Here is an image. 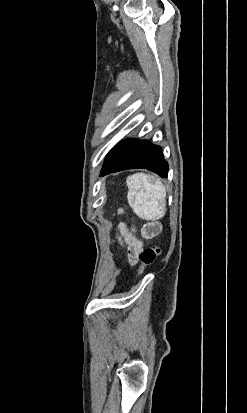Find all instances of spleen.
<instances>
[{
  "label": "spleen",
  "mask_w": 247,
  "mask_h": 413,
  "mask_svg": "<svg viewBox=\"0 0 247 413\" xmlns=\"http://www.w3.org/2000/svg\"><path fill=\"white\" fill-rule=\"evenodd\" d=\"M126 182L128 202L139 217H149V221L164 217L166 188L160 178L145 172H135L127 176Z\"/></svg>",
  "instance_id": "3e777b00"
}]
</instances>
